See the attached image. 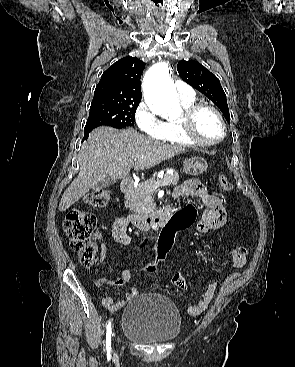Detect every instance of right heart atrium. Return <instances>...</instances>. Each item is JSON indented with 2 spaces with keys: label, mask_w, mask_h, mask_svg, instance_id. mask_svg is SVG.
<instances>
[{
  "label": "right heart atrium",
  "mask_w": 295,
  "mask_h": 367,
  "mask_svg": "<svg viewBox=\"0 0 295 367\" xmlns=\"http://www.w3.org/2000/svg\"><path fill=\"white\" fill-rule=\"evenodd\" d=\"M135 121L139 129L150 137L161 139L165 134L166 123L145 102L138 105Z\"/></svg>",
  "instance_id": "obj_1"
}]
</instances>
